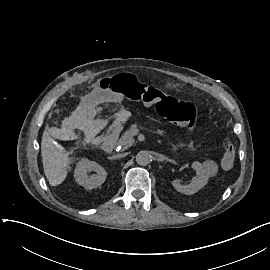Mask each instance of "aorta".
<instances>
[{"mask_svg": "<svg viewBox=\"0 0 270 270\" xmlns=\"http://www.w3.org/2000/svg\"><path fill=\"white\" fill-rule=\"evenodd\" d=\"M151 161V156L148 151H140L136 155V162L138 165L145 166L148 165Z\"/></svg>", "mask_w": 270, "mask_h": 270, "instance_id": "aorta-1", "label": "aorta"}]
</instances>
